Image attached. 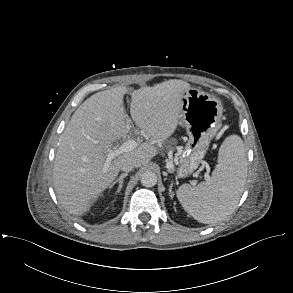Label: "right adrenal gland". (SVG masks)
Here are the masks:
<instances>
[{"label":"right adrenal gland","mask_w":293,"mask_h":293,"mask_svg":"<svg viewBox=\"0 0 293 293\" xmlns=\"http://www.w3.org/2000/svg\"><path fill=\"white\" fill-rule=\"evenodd\" d=\"M128 174L127 173H123L121 174V176L116 180L114 181L111 185H110V189H112L117 183L119 184L118 185V188H117V191H116V194L119 193L122 189V186H123V182H124V178L127 176Z\"/></svg>","instance_id":"right-adrenal-gland-1"}]
</instances>
